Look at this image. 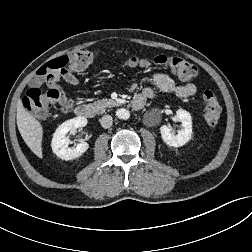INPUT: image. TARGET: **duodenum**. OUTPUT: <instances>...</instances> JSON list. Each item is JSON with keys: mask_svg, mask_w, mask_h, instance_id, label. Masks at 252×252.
Returning a JSON list of instances; mask_svg holds the SVG:
<instances>
[{"mask_svg": "<svg viewBox=\"0 0 252 252\" xmlns=\"http://www.w3.org/2000/svg\"><path fill=\"white\" fill-rule=\"evenodd\" d=\"M135 109H141L144 106L142 99H134L132 103ZM76 116L80 118H93L95 116V108L92 105H79L74 110Z\"/></svg>", "mask_w": 252, "mask_h": 252, "instance_id": "obj_1", "label": "duodenum"}]
</instances>
